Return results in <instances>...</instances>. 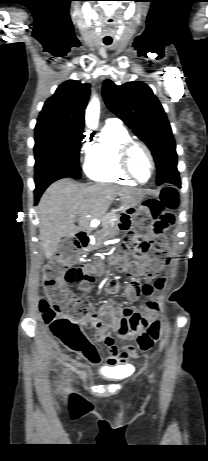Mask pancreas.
Instances as JSON below:
<instances>
[{"label":"pancreas","instance_id":"cf45deb5","mask_svg":"<svg viewBox=\"0 0 208 461\" xmlns=\"http://www.w3.org/2000/svg\"><path fill=\"white\" fill-rule=\"evenodd\" d=\"M116 217L117 215L115 210H112L104 216V219L102 220L103 231L114 226Z\"/></svg>","mask_w":208,"mask_h":461}]
</instances>
